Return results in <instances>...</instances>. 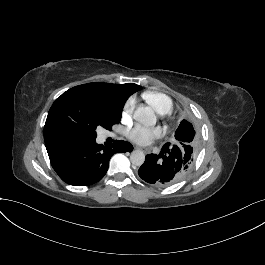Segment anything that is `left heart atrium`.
<instances>
[{
  "mask_svg": "<svg viewBox=\"0 0 265 265\" xmlns=\"http://www.w3.org/2000/svg\"><path fill=\"white\" fill-rule=\"evenodd\" d=\"M127 135L131 140L137 143L148 144L161 135V130L151 126L136 125Z\"/></svg>",
  "mask_w": 265,
  "mask_h": 265,
  "instance_id": "1",
  "label": "left heart atrium"
}]
</instances>
